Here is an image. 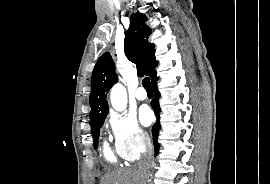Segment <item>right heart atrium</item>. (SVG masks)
<instances>
[{
	"instance_id": "d8ad5b80",
	"label": "right heart atrium",
	"mask_w": 270,
	"mask_h": 184,
	"mask_svg": "<svg viewBox=\"0 0 270 184\" xmlns=\"http://www.w3.org/2000/svg\"><path fill=\"white\" fill-rule=\"evenodd\" d=\"M107 125L117 154L126 162H134L147 150L150 140L137 120L129 115L111 113Z\"/></svg>"
}]
</instances>
